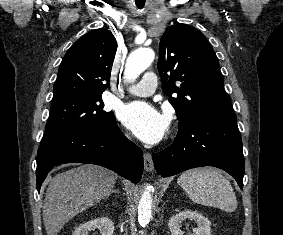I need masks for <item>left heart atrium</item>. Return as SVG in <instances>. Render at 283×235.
<instances>
[{
	"label": "left heart atrium",
	"mask_w": 283,
	"mask_h": 235,
	"mask_svg": "<svg viewBox=\"0 0 283 235\" xmlns=\"http://www.w3.org/2000/svg\"><path fill=\"white\" fill-rule=\"evenodd\" d=\"M120 120L143 142H159L168 129V119L152 105L135 101L123 106Z\"/></svg>",
	"instance_id": "39dd6f15"
}]
</instances>
